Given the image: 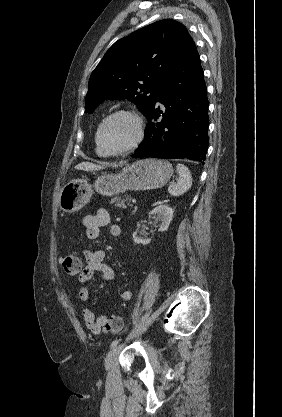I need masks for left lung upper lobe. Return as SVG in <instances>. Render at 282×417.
I'll return each mask as SVG.
<instances>
[{
    "label": "left lung upper lobe",
    "instance_id": "1",
    "mask_svg": "<svg viewBox=\"0 0 282 417\" xmlns=\"http://www.w3.org/2000/svg\"><path fill=\"white\" fill-rule=\"evenodd\" d=\"M193 40L172 19L157 21L115 42L89 79L86 112L106 99L128 98L146 116L163 79Z\"/></svg>",
    "mask_w": 282,
    "mask_h": 417
}]
</instances>
